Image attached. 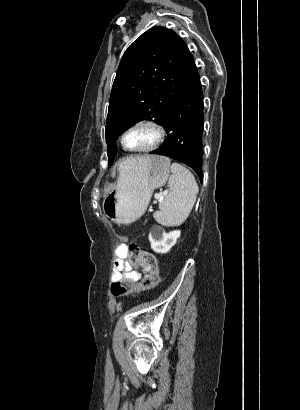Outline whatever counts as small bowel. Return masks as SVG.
Masks as SVG:
<instances>
[{
	"label": "small bowel",
	"mask_w": 300,
	"mask_h": 410,
	"mask_svg": "<svg viewBox=\"0 0 300 410\" xmlns=\"http://www.w3.org/2000/svg\"><path fill=\"white\" fill-rule=\"evenodd\" d=\"M137 265L133 264L129 259V252L125 245H120L116 250L115 272L113 280L129 279L132 282H137L141 274L136 270Z\"/></svg>",
	"instance_id": "c3829d8e"
}]
</instances>
